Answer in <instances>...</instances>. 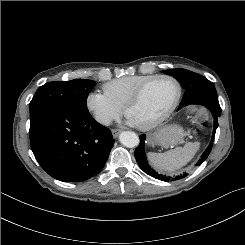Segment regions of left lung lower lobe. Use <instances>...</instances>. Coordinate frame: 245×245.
Listing matches in <instances>:
<instances>
[{"label":"left lung lower lobe","mask_w":245,"mask_h":245,"mask_svg":"<svg viewBox=\"0 0 245 245\" xmlns=\"http://www.w3.org/2000/svg\"><path fill=\"white\" fill-rule=\"evenodd\" d=\"M194 104H199V105H204L206 106L213 114V118H214V128H213V135H212V139L211 142L209 144V146L207 147V149L204 151V153L202 154L201 158L199 159V161L195 164L197 166L201 165L203 163V161L206 160V158L208 157V155L211 152L212 146H213V141H214V136H215V132L216 129L218 127V118L221 116V108L219 105V102L217 100H205V101H200V102H196ZM145 139H146V135H140V144L139 146L135 149V158L136 161L139 165V167L148 175L153 176L156 179H160L162 181H169L170 179H182L186 176V172L180 175H176L174 177H170L167 175H162L158 172H156L155 170H153L148 162H147V157L145 154Z\"/></svg>","instance_id":"left-lung-lower-lobe-1"}]
</instances>
